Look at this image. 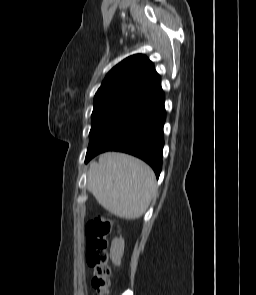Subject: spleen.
<instances>
[{
    "label": "spleen",
    "instance_id": "1",
    "mask_svg": "<svg viewBox=\"0 0 256 295\" xmlns=\"http://www.w3.org/2000/svg\"><path fill=\"white\" fill-rule=\"evenodd\" d=\"M88 190L112 214L126 219L141 217L156 191L152 169L132 156L108 152L88 171Z\"/></svg>",
    "mask_w": 256,
    "mask_h": 295
}]
</instances>
